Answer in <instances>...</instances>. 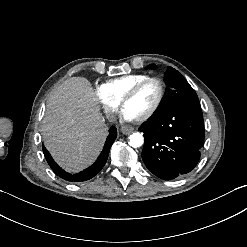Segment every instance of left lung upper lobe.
I'll list each match as a JSON object with an SVG mask.
<instances>
[{
	"instance_id": "left-lung-upper-lobe-1",
	"label": "left lung upper lobe",
	"mask_w": 247,
	"mask_h": 247,
	"mask_svg": "<svg viewBox=\"0 0 247 247\" xmlns=\"http://www.w3.org/2000/svg\"><path fill=\"white\" fill-rule=\"evenodd\" d=\"M156 65L151 64L147 68L154 69ZM167 89L160 106L153 115H158L172 107L179 105H197L200 102L196 92L177 70L167 67L165 74Z\"/></svg>"
}]
</instances>
